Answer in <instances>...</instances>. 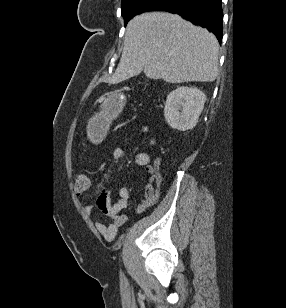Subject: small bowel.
<instances>
[{
    "label": "small bowel",
    "mask_w": 286,
    "mask_h": 308,
    "mask_svg": "<svg viewBox=\"0 0 286 308\" xmlns=\"http://www.w3.org/2000/svg\"><path fill=\"white\" fill-rule=\"evenodd\" d=\"M139 127L146 134H150L153 130V126L149 122L141 123ZM149 142L151 146H154L157 142L155 136H151ZM124 153V148L118 147L114 152V157L120 159L124 156ZM135 162L138 166L145 168L152 175L149 183L143 190L141 202L136 206V212L141 214L157 203L160 195V184L162 178L156 168L150 165V155L147 152H139L135 157ZM128 199V188L121 187L118 190V197L114 203L110 202L108 192L103 190L95 205L84 206L83 209L85 213L89 215L99 210L111 219V222L108 224L103 222L95 223L97 231L106 240H113L119 227L126 222L127 218L124 215H121L120 212L127 207Z\"/></svg>",
    "instance_id": "small-bowel-1"
}]
</instances>
